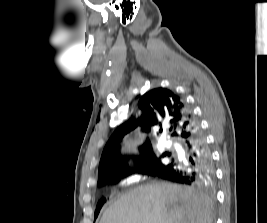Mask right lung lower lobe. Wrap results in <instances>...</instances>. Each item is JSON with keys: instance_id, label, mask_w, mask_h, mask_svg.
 <instances>
[{"instance_id": "98d812e1", "label": "right lung lower lobe", "mask_w": 267, "mask_h": 223, "mask_svg": "<svg viewBox=\"0 0 267 223\" xmlns=\"http://www.w3.org/2000/svg\"><path fill=\"white\" fill-rule=\"evenodd\" d=\"M195 131V135L184 142L186 161L167 165L157 174L158 177L192 186L209 188L213 185L215 174L211 152L198 124Z\"/></svg>"}]
</instances>
